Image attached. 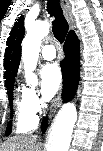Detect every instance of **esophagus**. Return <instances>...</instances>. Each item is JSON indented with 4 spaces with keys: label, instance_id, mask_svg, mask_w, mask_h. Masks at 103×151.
Returning a JSON list of instances; mask_svg holds the SVG:
<instances>
[{
    "label": "esophagus",
    "instance_id": "esophagus-1",
    "mask_svg": "<svg viewBox=\"0 0 103 151\" xmlns=\"http://www.w3.org/2000/svg\"><path fill=\"white\" fill-rule=\"evenodd\" d=\"M60 4H61V7H62L63 12H64V16H65V18L69 24L70 29H73L74 28V18H73L72 12H71V6H70L69 1L68 0H60ZM60 100H61V97L59 95L55 104H59Z\"/></svg>",
    "mask_w": 103,
    "mask_h": 151
}]
</instances>
